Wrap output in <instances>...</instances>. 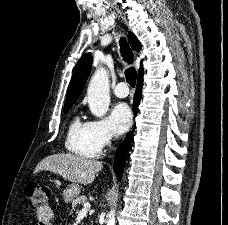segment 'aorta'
Listing matches in <instances>:
<instances>
[{
    "instance_id": "aorta-1",
    "label": "aorta",
    "mask_w": 228,
    "mask_h": 225,
    "mask_svg": "<svg viewBox=\"0 0 228 225\" xmlns=\"http://www.w3.org/2000/svg\"><path fill=\"white\" fill-rule=\"evenodd\" d=\"M89 108L94 117H104L110 104L109 76L106 68H96L87 88ZM116 205L107 215V225L116 223Z\"/></svg>"
}]
</instances>
